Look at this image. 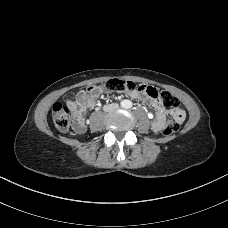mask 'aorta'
Wrapping results in <instances>:
<instances>
[{"instance_id": "762f6f07", "label": "aorta", "mask_w": 228, "mask_h": 228, "mask_svg": "<svg viewBox=\"0 0 228 228\" xmlns=\"http://www.w3.org/2000/svg\"><path fill=\"white\" fill-rule=\"evenodd\" d=\"M122 106H123L124 108H131V107H132V102H131L130 100H124V101L122 102Z\"/></svg>"}]
</instances>
